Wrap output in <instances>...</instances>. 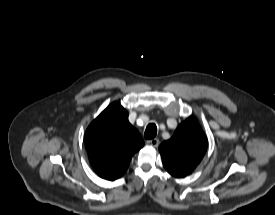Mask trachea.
<instances>
[{
    "mask_svg": "<svg viewBox=\"0 0 275 215\" xmlns=\"http://www.w3.org/2000/svg\"><path fill=\"white\" fill-rule=\"evenodd\" d=\"M157 134V126L154 123H151L147 126L144 136L146 139H153Z\"/></svg>",
    "mask_w": 275,
    "mask_h": 215,
    "instance_id": "3493384b",
    "label": "trachea"
}]
</instances>
